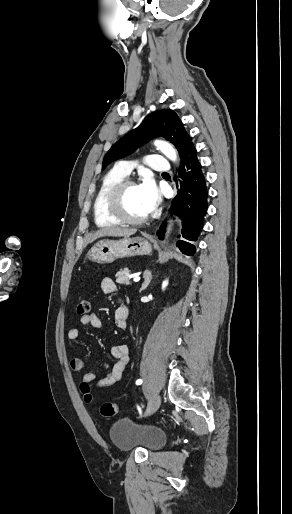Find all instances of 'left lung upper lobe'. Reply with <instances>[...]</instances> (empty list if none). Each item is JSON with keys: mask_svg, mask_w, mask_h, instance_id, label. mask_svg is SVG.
Segmentation results:
<instances>
[{"mask_svg": "<svg viewBox=\"0 0 292 514\" xmlns=\"http://www.w3.org/2000/svg\"><path fill=\"white\" fill-rule=\"evenodd\" d=\"M155 137H164L169 140L176 146L180 158L192 143L191 137L174 111L169 109L155 111L149 114L139 127L123 136L110 148L104 157L102 169H105L109 163L133 153L138 144L147 143Z\"/></svg>", "mask_w": 292, "mask_h": 514, "instance_id": "obj_1", "label": "left lung upper lobe"}]
</instances>
